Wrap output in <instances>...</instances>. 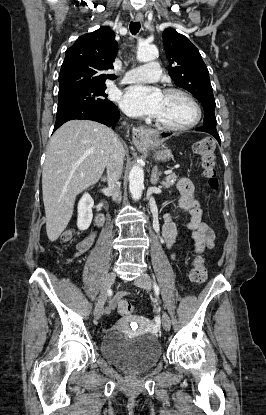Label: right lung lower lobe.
Wrapping results in <instances>:
<instances>
[{
    "label": "right lung lower lobe",
    "instance_id": "98d812e1",
    "mask_svg": "<svg viewBox=\"0 0 266 415\" xmlns=\"http://www.w3.org/2000/svg\"><path fill=\"white\" fill-rule=\"evenodd\" d=\"M120 113L116 106L110 108H98L81 105L60 106L57 109L56 123L54 130L63 123L74 119H87L100 122L107 126H113L119 120Z\"/></svg>",
    "mask_w": 266,
    "mask_h": 415
}]
</instances>
